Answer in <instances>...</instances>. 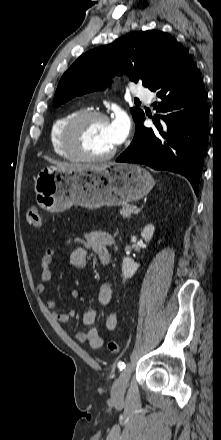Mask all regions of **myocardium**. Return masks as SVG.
Returning a JSON list of instances; mask_svg holds the SVG:
<instances>
[{"label":"myocardium","instance_id":"myocardium-1","mask_svg":"<svg viewBox=\"0 0 221 440\" xmlns=\"http://www.w3.org/2000/svg\"><path fill=\"white\" fill-rule=\"evenodd\" d=\"M91 119H100L109 122L108 116L98 110H85L73 116L63 129V146L69 155L76 160L100 162L111 159L117 152V148H112L109 152L102 155H91L86 153L79 144V132L82 125Z\"/></svg>","mask_w":221,"mask_h":440}]
</instances>
